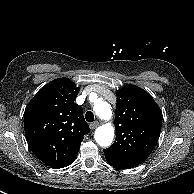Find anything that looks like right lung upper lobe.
<instances>
[{
	"mask_svg": "<svg viewBox=\"0 0 194 194\" xmlns=\"http://www.w3.org/2000/svg\"><path fill=\"white\" fill-rule=\"evenodd\" d=\"M80 88L58 78L40 89L24 113L26 140L47 166L63 168L74 162L83 136L90 129L74 100Z\"/></svg>",
	"mask_w": 194,
	"mask_h": 194,
	"instance_id": "obj_1",
	"label": "right lung upper lobe"
}]
</instances>
